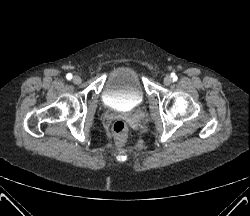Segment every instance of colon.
I'll use <instances>...</instances> for the list:
<instances>
[{
  "mask_svg": "<svg viewBox=\"0 0 250 216\" xmlns=\"http://www.w3.org/2000/svg\"><path fill=\"white\" fill-rule=\"evenodd\" d=\"M112 133L118 145L122 146L127 140L128 127L127 124L121 120H116L112 125Z\"/></svg>",
  "mask_w": 250,
  "mask_h": 216,
  "instance_id": "1",
  "label": "colon"
}]
</instances>
